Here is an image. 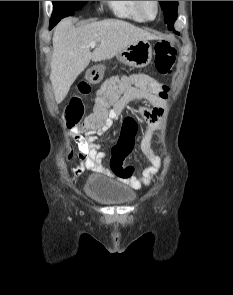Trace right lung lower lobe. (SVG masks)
<instances>
[{"label":"right lung lower lobe","instance_id":"obj_1","mask_svg":"<svg viewBox=\"0 0 233 295\" xmlns=\"http://www.w3.org/2000/svg\"><path fill=\"white\" fill-rule=\"evenodd\" d=\"M74 14H76V12L72 13V15H74ZM60 20H61L60 18L52 17L50 20L49 29H52Z\"/></svg>","mask_w":233,"mask_h":295}]
</instances>
